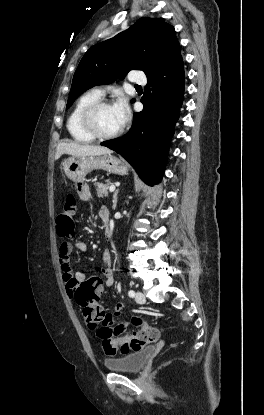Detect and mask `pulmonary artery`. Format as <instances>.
<instances>
[{
    "mask_svg": "<svg viewBox=\"0 0 264 415\" xmlns=\"http://www.w3.org/2000/svg\"><path fill=\"white\" fill-rule=\"evenodd\" d=\"M145 79L146 77L143 74H133L130 76V81L134 84L144 83ZM92 91L100 97H102L105 93V89L103 87H96Z\"/></svg>",
    "mask_w": 264,
    "mask_h": 415,
    "instance_id": "pulmonary-artery-1",
    "label": "pulmonary artery"
}]
</instances>
